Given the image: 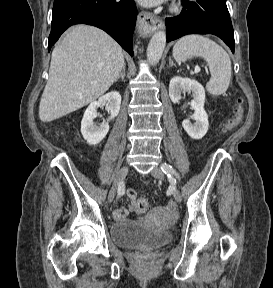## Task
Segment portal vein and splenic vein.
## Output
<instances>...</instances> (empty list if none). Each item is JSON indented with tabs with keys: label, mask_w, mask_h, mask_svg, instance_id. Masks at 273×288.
<instances>
[{
	"label": "portal vein and splenic vein",
	"mask_w": 273,
	"mask_h": 288,
	"mask_svg": "<svg viewBox=\"0 0 273 288\" xmlns=\"http://www.w3.org/2000/svg\"><path fill=\"white\" fill-rule=\"evenodd\" d=\"M198 71H200V68H199V67H196V68H195V72H198Z\"/></svg>",
	"instance_id": "1"
}]
</instances>
